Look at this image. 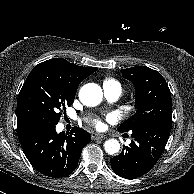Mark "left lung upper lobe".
Listing matches in <instances>:
<instances>
[{"label":"left lung upper lobe","instance_id":"left-lung-upper-lobe-1","mask_svg":"<svg viewBox=\"0 0 194 194\" xmlns=\"http://www.w3.org/2000/svg\"><path fill=\"white\" fill-rule=\"evenodd\" d=\"M121 73L135 86L137 112L123 122L118 131L128 132L143 122L172 120L171 93L159 72L146 66H135L122 69Z\"/></svg>","mask_w":194,"mask_h":194}]
</instances>
